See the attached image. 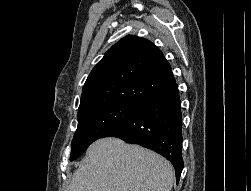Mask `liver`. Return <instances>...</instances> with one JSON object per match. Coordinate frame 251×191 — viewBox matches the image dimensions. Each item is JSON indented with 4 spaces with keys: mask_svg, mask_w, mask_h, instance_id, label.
<instances>
[{
    "mask_svg": "<svg viewBox=\"0 0 251 191\" xmlns=\"http://www.w3.org/2000/svg\"><path fill=\"white\" fill-rule=\"evenodd\" d=\"M173 167L165 157L118 137L89 145L67 191H170Z\"/></svg>",
    "mask_w": 251,
    "mask_h": 191,
    "instance_id": "6515ba94",
    "label": "liver"
}]
</instances>
